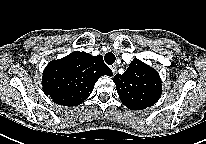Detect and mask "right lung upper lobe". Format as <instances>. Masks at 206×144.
I'll list each match as a JSON object with an SVG mask.
<instances>
[{"instance_id":"right-lung-upper-lobe-1","label":"right lung upper lobe","mask_w":206,"mask_h":144,"mask_svg":"<svg viewBox=\"0 0 206 144\" xmlns=\"http://www.w3.org/2000/svg\"><path fill=\"white\" fill-rule=\"evenodd\" d=\"M103 75L111 76L112 71L102 56L75 51L47 65L42 77L43 91L56 104L76 106L90 96Z\"/></svg>"}]
</instances>
